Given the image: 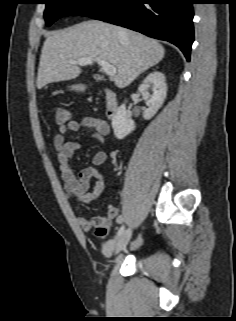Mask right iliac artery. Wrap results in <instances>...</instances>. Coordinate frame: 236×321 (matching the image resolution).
Here are the masks:
<instances>
[{
  "label": "right iliac artery",
  "mask_w": 236,
  "mask_h": 321,
  "mask_svg": "<svg viewBox=\"0 0 236 321\" xmlns=\"http://www.w3.org/2000/svg\"><path fill=\"white\" fill-rule=\"evenodd\" d=\"M124 229H125L124 225L120 227V229H119V231L117 233L118 237L121 236V234L124 232Z\"/></svg>",
  "instance_id": "82829eb1"
}]
</instances>
